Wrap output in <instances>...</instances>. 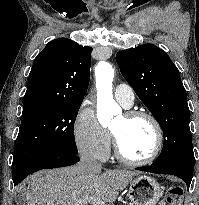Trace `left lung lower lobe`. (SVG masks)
Segmentation results:
<instances>
[{
    "label": "left lung lower lobe",
    "instance_id": "obj_1",
    "mask_svg": "<svg viewBox=\"0 0 199 205\" xmlns=\"http://www.w3.org/2000/svg\"><path fill=\"white\" fill-rule=\"evenodd\" d=\"M140 171L152 172L156 174H171L181 178L189 190L194 169L181 163H167L136 168Z\"/></svg>",
    "mask_w": 199,
    "mask_h": 205
}]
</instances>
